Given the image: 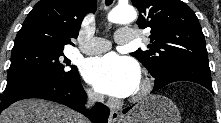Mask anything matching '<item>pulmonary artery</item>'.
Returning <instances> with one entry per match:
<instances>
[{
	"label": "pulmonary artery",
	"mask_w": 221,
	"mask_h": 123,
	"mask_svg": "<svg viewBox=\"0 0 221 123\" xmlns=\"http://www.w3.org/2000/svg\"><path fill=\"white\" fill-rule=\"evenodd\" d=\"M134 37L135 33L129 28H120L115 34V40L118 44L130 43ZM110 47L111 43L107 39L96 37L82 46L81 51L85 54L95 55L109 50Z\"/></svg>",
	"instance_id": "pulmonary-artery-1"
}]
</instances>
